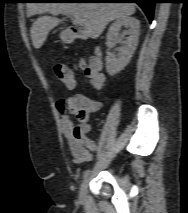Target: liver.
<instances>
[{
  "instance_id": "6515ba94",
  "label": "liver",
  "mask_w": 188,
  "mask_h": 213,
  "mask_svg": "<svg viewBox=\"0 0 188 213\" xmlns=\"http://www.w3.org/2000/svg\"><path fill=\"white\" fill-rule=\"evenodd\" d=\"M50 13L52 16H41L34 21L30 29L32 44L39 49L47 39L49 32L62 19L55 16L61 14L67 17H81L84 20L85 31L93 39L98 38L106 25L118 18L135 13L133 3H28V17L36 14Z\"/></svg>"
}]
</instances>
